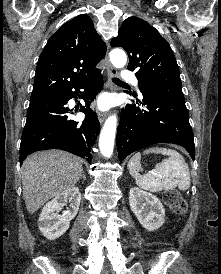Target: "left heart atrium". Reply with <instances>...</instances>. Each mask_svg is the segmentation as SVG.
<instances>
[{"label":"left heart atrium","instance_id":"39dd6f15","mask_svg":"<svg viewBox=\"0 0 221 274\" xmlns=\"http://www.w3.org/2000/svg\"><path fill=\"white\" fill-rule=\"evenodd\" d=\"M109 106V100L107 98H102L99 101V108L100 109H106Z\"/></svg>","mask_w":221,"mask_h":274}]
</instances>
